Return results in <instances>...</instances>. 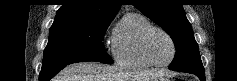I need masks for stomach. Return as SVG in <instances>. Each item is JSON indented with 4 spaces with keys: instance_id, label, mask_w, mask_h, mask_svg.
<instances>
[{
    "instance_id": "stomach-1",
    "label": "stomach",
    "mask_w": 237,
    "mask_h": 81,
    "mask_svg": "<svg viewBox=\"0 0 237 81\" xmlns=\"http://www.w3.org/2000/svg\"><path fill=\"white\" fill-rule=\"evenodd\" d=\"M152 81H169V78L163 76Z\"/></svg>"
}]
</instances>
